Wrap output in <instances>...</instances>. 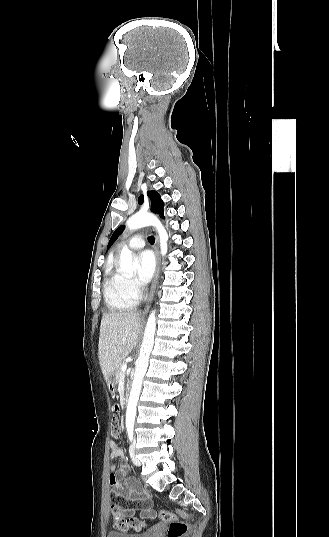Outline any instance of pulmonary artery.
Listing matches in <instances>:
<instances>
[{
  "label": "pulmonary artery",
  "mask_w": 329,
  "mask_h": 537,
  "mask_svg": "<svg viewBox=\"0 0 329 537\" xmlns=\"http://www.w3.org/2000/svg\"><path fill=\"white\" fill-rule=\"evenodd\" d=\"M144 246H145V241L141 235L133 236L128 242V247L133 250L141 249Z\"/></svg>",
  "instance_id": "1"
}]
</instances>
